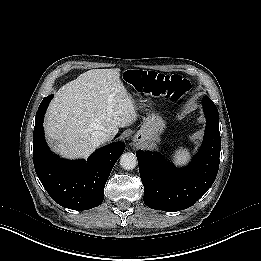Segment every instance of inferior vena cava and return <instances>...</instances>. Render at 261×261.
Instances as JSON below:
<instances>
[{
  "instance_id": "obj_1",
  "label": "inferior vena cava",
  "mask_w": 261,
  "mask_h": 261,
  "mask_svg": "<svg viewBox=\"0 0 261 261\" xmlns=\"http://www.w3.org/2000/svg\"><path fill=\"white\" fill-rule=\"evenodd\" d=\"M91 140H92L93 145L98 147L101 144L110 140V136L107 133L102 132V131H94L92 133Z\"/></svg>"
}]
</instances>
